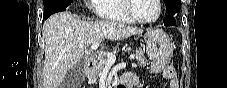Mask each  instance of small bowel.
<instances>
[{
  "instance_id": "1",
  "label": "small bowel",
  "mask_w": 227,
  "mask_h": 88,
  "mask_svg": "<svg viewBox=\"0 0 227 88\" xmlns=\"http://www.w3.org/2000/svg\"><path fill=\"white\" fill-rule=\"evenodd\" d=\"M163 73H164V76L166 78L170 79V87L171 88H178V81H177L176 78H174V72H173V70L171 68H169V67H166L164 69V72ZM122 79H124V80H132L133 83H134V79L130 75H125V76L122 77Z\"/></svg>"
}]
</instances>
